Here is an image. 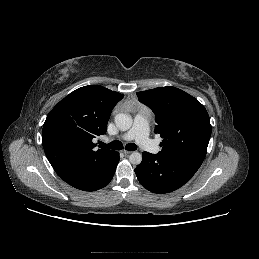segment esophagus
I'll list each match as a JSON object with an SVG mask.
<instances>
[{"mask_svg": "<svg viewBox=\"0 0 259 259\" xmlns=\"http://www.w3.org/2000/svg\"><path fill=\"white\" fill-rule=\"evenodd\" d=\"M122 153H123L124 155H129V154H131V151L123 150Z\"/></svg>", "mask_w": 259, "mask_h": 259, "instance_id": "34e87169", "label": "esophagus"}]
</instances>
